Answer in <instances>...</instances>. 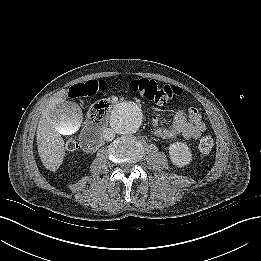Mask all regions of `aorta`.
Masks as SVG:
<instances>
[{
  "label": "aorta",
  "mask_w": 261,
  "mask_h": 261,
  "mask_svg": "<svg viewBox=\"0 0 261 261\" xmlns=\"http://www.w3.org/2000/svg\"><path fill=\"white\" fill-rule=\"evenodd\" d=\"M140 106L131 101L116 105L110 114V125L120 135L135 133L143 123Z\"/></svg>",
  "instance_id": "1"
}]
</instances>
